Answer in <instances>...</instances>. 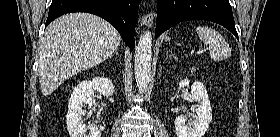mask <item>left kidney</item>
Returning <instances> with one entry per match:
<instances>
[{
  "instance_id": "5707ae66",
  "label": "left kidney",
  "mask_w": 280,
  "mask_h": 137,
  "mask_svg": "<svg viewBox=\"0 0 280 137\" xmlns=\"http://www.w3.org/2000/svg\"><path fill=\"white\" fill-rule=\"evenodd\" d=\"M189 84V79H183L179 82V88L189 87ZM191 99L198 103L196 120L187 123V118L183 115L176 117L174 124L178 137H202L212 121L210 100L203 83L196 81L191 85Z\"/></svg>"
}]
</instances>
